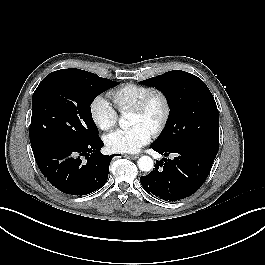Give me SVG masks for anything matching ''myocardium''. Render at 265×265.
Instances as JSON below:
<instances>
[{
  "label": "myocardium",
  "instance_id": "f54148a6",
  "mask_svg": "<svg viewBox=\"0 0 265 265\" xmlns=\"http://www.w3.org/2000/svg\"><path fill=\"white\" fill-rule=\"evenodd\" d=\"M158 99L162 104V113L156 123L154 124L151 132L153 135L160 134L165 128L171 114V105L168 96L165 92L160 89H151L147 94H145L141 100L134 105L130 110L138 114H145L153 102V100Z\"/></svg>",
  "mask_w": 265,
  "mask_h": 265
}]
</instances>
